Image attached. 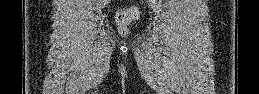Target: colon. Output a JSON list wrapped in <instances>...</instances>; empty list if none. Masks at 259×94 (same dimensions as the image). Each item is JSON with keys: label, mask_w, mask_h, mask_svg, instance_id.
<instances>
[{"label": "colon", "mask_w": 259, "mask_h": 94, "mask_svg": "<svg viewBox=\"0 0 259 94\" xmlns=\"http://www.w3.org/2000/svg\"><path fill=\"white\" fill-rule=\"evenodd\" d=\"M138 17V10L135 7L121 10L117 13V21L123 27Z\"/></svg>", "instance_id": "obj_1"}]
</instances>
